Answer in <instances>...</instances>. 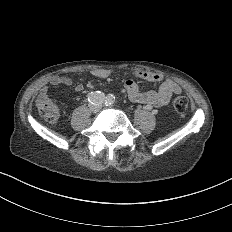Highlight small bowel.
I'll return each instance as SVG.
<instances>
[{
    "instance_id": "1",
    "label": "small bowel",
    "mask_w": 232,
    "mask_h": 232,
    "mask_svg": "<svg viewBox=\"0 0 232 232\" xmlns=\"http://www.w3.org/2000/svg\"><path fill=\"white\" fill-rule=\"evenodd\" d=\"M110 71L107 69H96L93 72V77L82 79V83L85 85L99 84L103 79L109 75ZM137 77L143 80L158 82L161 80V76L158 72L153 70H138L136 72ZM51 85L54 87H70L72 80L69 78L57 77L51 80ZM125 86L128 90L129 100L134 103H146L150 106L161 107L168 103L171 95L180 92V85L171 78H166L162 81L159 91H142L138 88L133 79L125 80ZM80 88H77V92ZM49 92V88L44 86L41 88V93L46 94Z\"/></svg>"
}]
</instances>
